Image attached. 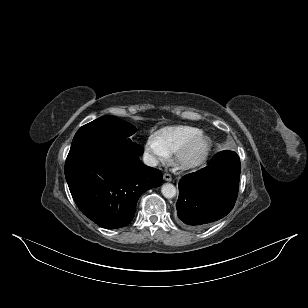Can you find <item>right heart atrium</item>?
Here are the masks:
<instances>
[{
	"mask_svg": "<svg viewBox=\"0 0 308 308\" xmlns=\"http://www.w3.org/2000/svg\"><path fill=\"white\" fill-rule=\"evenodd\" d=\"M144 152L151 165L164 163L169 159L170 154L163 148L155 136H150L144 144Z\"/></svg>",
	"mask_w": 308,
	"mask_h": 308,
	"instance_id": "d8ad5b80",
	"label": "right heart atrium"
}]
</instances>
